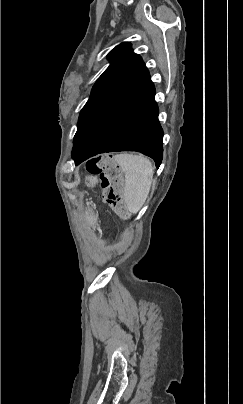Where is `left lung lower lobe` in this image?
Listing matches in <instances>:
<instances>
[{
	"label": "left lung lower lobe",
	"mask_w": 243,
	"mask_h": 404,
	"mask_svg": "<svg viewBox=\"0 0 243 404\" xmlns=\"http://www.w3.org/2000/svg\"><path fill=\"white\" fill-rule=\"evenodd\" d=\"M155 87L149 79L105 111L72 156L78 165L99 153L138 151L159 168L163 157V130L158 121Z\"/></svg>",
	"instance_id": "1"
}]
</instances>
